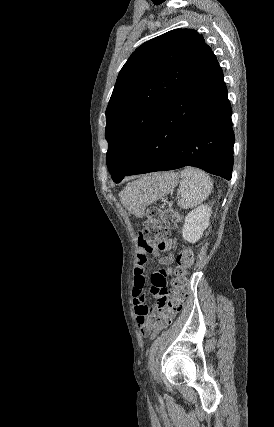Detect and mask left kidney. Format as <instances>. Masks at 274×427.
<instances>
[{"label": "left kidney", "mask_w": 274, "mask_h": 427, "mask_svg": "<svg viewBox=\"0 0 274 427\" xmlns=\"http://www.w3.org/2000/svg\"><path fill=\"white\" fill-rule=\"evenodd\" d=\"M211 208L209 206H198L185 217L182 235L186 241L195 243L203 235L204 229L209 225Z\"/></svg>", "instance_id": "left-kidney-1"}]
</instances>
